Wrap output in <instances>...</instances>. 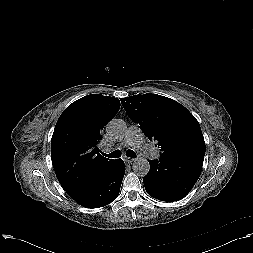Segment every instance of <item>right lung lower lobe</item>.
I'll use <instances>...</instances> for the list:
<instances>
[{
	"mask_svg": "<svg viewBox=\"0 0 253 253\" xmlns=\"http://www.w3.org/2000/svg\"><path fill=\"white\" fill-rule=\"evenodd\" d=\"M124 174L125 164L122 159H117L105 172L68 194L84 207H103L117 198Z\"/></svg>",
	"mask_w": 253,
	"mask_h": 253,
	"instance_id": "98d812e1",
	"label": "right lung lower lobe"
}]
</instances>
